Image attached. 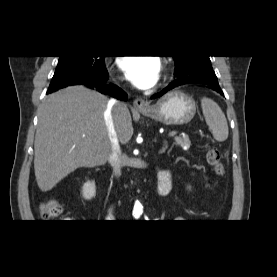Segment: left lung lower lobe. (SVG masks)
<instances>
[{"label":"left lung lower lobe","instance_id":"0a47b994","mask_svg":"<svg viewBox=\"0 0 277 277\" xmlns=\"http://www.w3.org/2000/svg\"><path fill=\"white\" fill-rule=\"evenodd\" d=\"M187 83H201L207 85L208 88L220 93L223 95V91L221 90L217 77L213 73H206V74H195L187 77H180L176 81L172 82L170 85H168L165 89H163L160 93L153 95L151 98H157L165 94L167 91L183 85Z\"/></svg>","mask_w":277,"mask_h":277}]
</instances>
